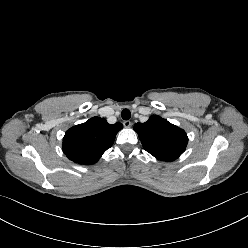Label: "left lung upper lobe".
<instances>
[{"instance_id":"5c2ea615","label":"left lung upper lobe","mask_w":248,"mask_h":248,"mask_svg":"<svg viewBox=\"0 0 248 248\" xmlns=\"http://www.w3.org/2000/svg\"><path fill=\"white\" fill-rule=\"evenodd\" d=\"M134 130L144 149L161 161L177 159L187 146L185 131L157 115L145 123H136Z\"/></svg>"}]
</instances>
